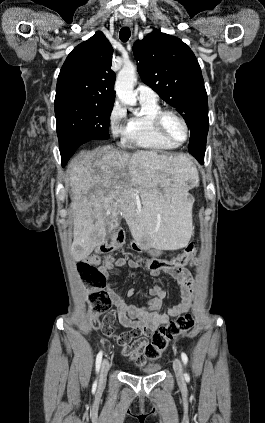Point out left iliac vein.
I'll return each mask as SVG.
<instances>
[{"label": "left iliac vein", "instance_id": "obj_1", "mask_svg": "<svg viewBox=\"0 0 265 423\" xmlns=\"http://www.w3.org/2000/svg\"><path fill=\"white\" fill-rule=\"evenodd\" d=\"M173 368H174V371H175V374H176L178 381H180V382L183 381V379H184L183 367H182L181 361L178 358H176L174 360Z\"/></svg>", "mask_w": 265, "mask_h": 423}]
</instances>
